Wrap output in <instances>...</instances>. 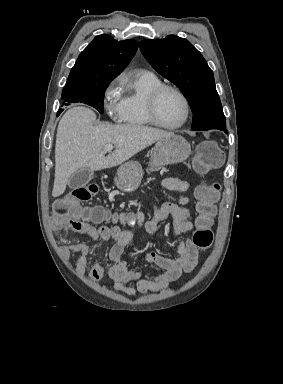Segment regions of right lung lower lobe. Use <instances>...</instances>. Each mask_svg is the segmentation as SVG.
Masks as SVG:
<instances>
[{
	"instance_id": "right-lung-lower-lobe-1",
	"label": "right lung lower lobe",
	"mask_w": 283,
	"mask_h": 384,
	"mask_svg": "<svg viewBox=\"0 0 283 384\" xmlns=\"http://www.w3.org/2000/svg\"><path fill=\"white\" fill-rule=\"evenodd\" d=\"M62 112V110H59L58 113H57V116Z\"/></svg>"
}]
</instances>
